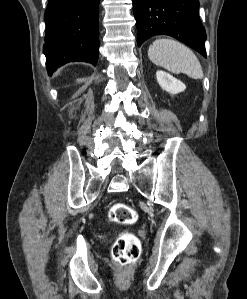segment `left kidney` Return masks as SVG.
Masks as SVG:
<instances>
[{"mask_svg": "<svg viewBox=\"0 0 247 299\" xmlns=\"http://www.w3.org/2000/svg\"><path fill=\"white\" fill-rule=\"evenodd\" d=\"M156 78L160 87L170 94H177L186 89L184 83H182L180 80L176 79L169 73H166L165 71H157Z\"/></svg>", "mask_w": 247, "mask_h": 299, "instance_id": "1", "label": "left kidney"}]
</instances>
